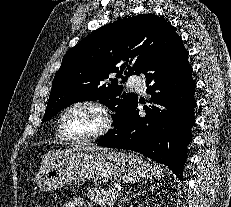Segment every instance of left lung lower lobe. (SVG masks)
Here are the masks:
<instances>
[{
  "label": "left lung lower lobe",
  "mask_w": 231,
  "mask_h": 207,
  "mask_svg": "<svg viewBox=\"0 0 231 207\" xmlns=\"http://www.w3.org/2000/svg\"><path fill=\"white\" fill-rule=\"evenodd\" d=\"M188 54L178 38L153 58L142 71L153 106H145V114H140L137 99L117 128L98 139L97 145L140 152L167 165L181 180L196 106Z\"/></svg>",
  "instance_id": "obj_1"
}]
</instances>
